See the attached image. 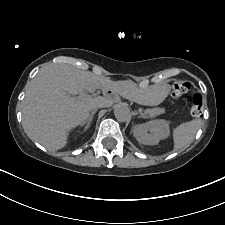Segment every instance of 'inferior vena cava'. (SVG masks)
Masks as SVG:
<instances>
[{"mask_svg": "<svg viewBox=\"0 0 225 225\" xmlns=\"http://www.w3.org/2000/svg\"><path fill=\"white\" fill-rule=\"evenodd\" d=\"M105 106L106 104L104 102H98L91 107V110L93 111V110H96L97 108H103Z\"/></svg>", "mask_w": 225, "mask_h": 225, "instance_id": "obj_1", "label": "inferior vena cava"}]
</instances>
